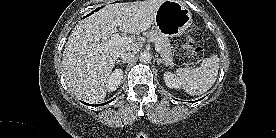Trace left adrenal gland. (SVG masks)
<instances>
[{"label": "left adrenal gland", "mask_w": 276, "mask_h": 138, "mask_svg": "<svg viewBox=\"0 0 276 138\" xmlns=\"http://www.w3.org/2000/svg\"><path fill=\"white\" fill-rule=\"evenodd\" d=\"M156 60H157V63L160 64V63H163L165 66H168V64L166 62H164L163 59L159 58L158 55H156Z\"/></svg>", "instance_id": "a2214340"}]
</instances>
